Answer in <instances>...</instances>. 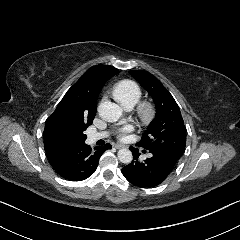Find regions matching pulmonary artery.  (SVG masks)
Returning <instances> with one entry per match:
<instances>
[{
    "label": "pulmonary artery",
    "instance_id": "obj_1",
    "mask_svg": "<svg viewBox=\"0 0 240 240\" xmlns=\"http://www.w3.org/2000/svg\"><path fill=\"white\" fill-rule=\"evenodd\" d=\"M127 110H131V108H127ZM105 137H106L105 133H91L87 136V143L93 144Z\"/></svg>",
    "mask_w": 240,
    "mask_h": 240
}]
</instances>
